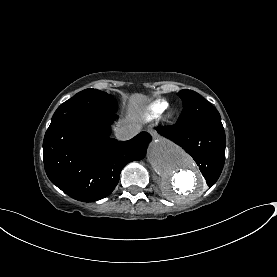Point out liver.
<instances>
[{
  "instance_id": "obj_1",
  "label": "liver",
  "mask_w": 277,
  "mask_h": 277,
  "mask_svg": "<svg viewBox=\"0 0 277 277\" xmlns=\"http://www.w3.org/2000/svg\"><path fill=\"white\" fill-rule=\"evenodd\" d=\"M145 100V97L140 95V94H136L132 97L130 104L128 105L129 107V116L130 118H132L134 121H137L138 119L134 116V112L139 110V104Z\"/></svg>"
}]
</instances>
